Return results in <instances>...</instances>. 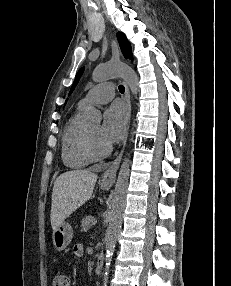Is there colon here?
<instances>
[{
  "mask_svg": "<svg viewBox=\"0 0 231 286\" xmlns=\"http://www.w3.org/2000/svg\"><path fill=\"white\" fill-rule=\"evenodd\" d=\"M53 286H71L69 276L63 271H57L53 277Z\"/></svg>",
  "mask_w": 231,
  "mask_h": 286,
  "instance_id": "colon-1",
  "label": "colon"
}]
</instances>
